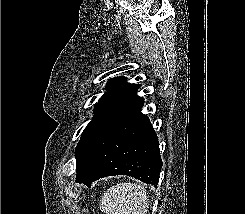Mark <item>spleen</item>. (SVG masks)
<instances>
[{
  "label": "spleen",
  "instance_id": "1",
  "mask_svg": "<svg viewBox=\"0 0 245 214\" xmlns=\"http://www.w3.org/2000/svg\"><path fill=\"white\" fill-rule=\"evenodd\" d=\"M147 207V193L142 185L120 183L104 193L100 210L104 214H145Z\"/></svg>",
  "mask_w": 245,
  "mask_h": 214
}]
</instances>
